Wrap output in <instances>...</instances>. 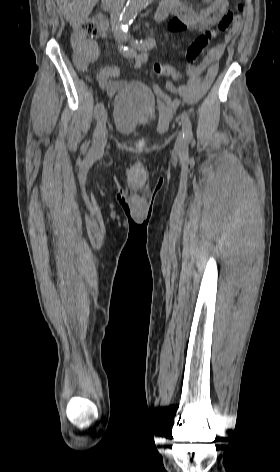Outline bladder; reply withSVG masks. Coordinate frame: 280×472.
I'll return each instance as SVG.
<instances>
[{"instance_id": "1", "label": "bladder", "mask_w": 280, "mask_h": 472, "mask_svg": "<svg viewBox=\"0 0 280 472\" xmlns=\"http://www.w3.org/2000/svg\"><path fill=\"white\" fill-rule=\"evenodd\" d=\"M158 104L152 90L144 83L129 82L116 94L113 105L114 127L124 134L154 122Z\"/></svg>"}]
</instances>
